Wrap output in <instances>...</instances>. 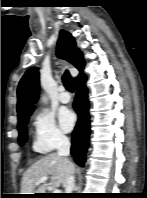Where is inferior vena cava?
Returning a JSON list of instances; mask_svg holds the SVG:
<instances>
[{
    "label": "inferior vena cava",
    "mask_w": 147,
    "mask_h": 198,
    "mask_svg": "<svg viewBox=\"0 0 147 198\" xmlns=\"http://www.w3.org/2000/svg\"><path fill=\"white\" fill-rule=\"evenodd\" d=\"M57 154L63 157L68 163H70V160L68 159V156L70 154V142L66 136L62 135L58 138ZM64 187H65L66 193H72L75 187V179H74L73 174H70L67 177Z\"/></svg>",
    "instance_id": "obj_1"
}]
</instances>
